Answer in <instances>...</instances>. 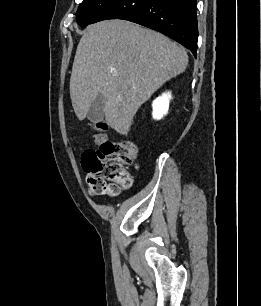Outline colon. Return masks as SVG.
<instances>
[{
  "label": "colon",
  "mask_w": 261,
  "mask_h": 306,
  "mask_svg": "<svg viewBox=\"0 0 261 306\" xmlns=\"http://www.w3.org/2000/svg\"><path fill=\"white\" fill-rule=\"evenodd\" d=\"M96 149H88L82 154V166L87 172V182L92 193H105L131 185L128 167L133 163L136 145L127 140L113 142L105 137L106 125H94Z\"/></svg>",
  "instance_id": "1"
}]
</instances>
